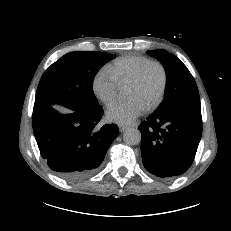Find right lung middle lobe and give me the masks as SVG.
I'll list each match as a JSON object with an SVG mask.
<instances>
[{
  "mask_svg": "<svg viewBox=\"0 0 231 231\" xmlns=\"http://www.w3.org/2000/svg\"><path fill=\"white\" fill-rule=\"evenodd\" d=\"M115 56L104 52H71L53 63L42 75L35 101L88 111L99 104L93 80L99 69Z\"/></svg>",
  "mask_w": 231,
  "mask_h": 231,
  "instance_id": "obj_1",
  "label": "right lung middle lobe"
}]
</instances>
